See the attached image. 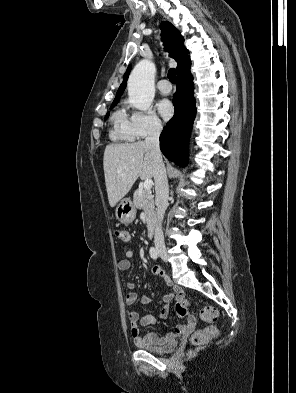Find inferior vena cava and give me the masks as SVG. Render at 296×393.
<instances>
[{
	"instance_id": "1",
	"label": "inferior vena cava",
	"mask_w": 296,
	"mask_h": 393,
	"mask_svg": "<svg viewBox=\"0 0 296 393\" xmlns=\"http://www.w3.org/2000/svg\"><path fill=\"white\" fill-rule=\"evenodd\" d=\"M162 132V125L159 122H154L145 139V144L150 148L154 156V181H155V204L157 213V227L155 230L154 243L158 247H164V236L161 223L164 218L165 210L168 203V180L166 175L165 165L163 163L160 147L159 137Z\"/></svg>"
}]
</instances>
